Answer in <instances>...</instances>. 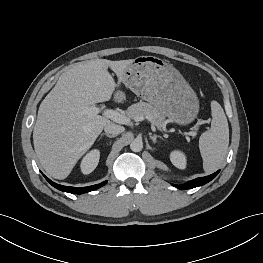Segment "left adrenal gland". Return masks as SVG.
<instances>
[{
  "instance_id": "a2214340",
  "label": "left adrenal gland",
  "mask_w": 263,
  "mask_h": 263,
  "mask_svg": "<svg viewBox=\"0 0 263 263\" xmlns=\"http://www.w3.org/2000/svg\"><path fill=\"white\" fill-rule=\"evenodd\" d=\"M157 138L161 139L162 141H165L162 138V136H160V135H156V134L152 135V134H150V139L153 141L154 144L157 142Z\"/></svg>"
}]
</instances>
